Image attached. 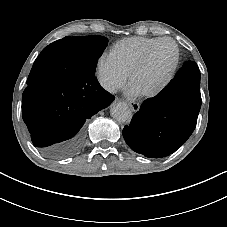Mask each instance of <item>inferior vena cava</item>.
<instances>
[{"label":"inferior vena cava","instance_id":"inferior-vena-cava-1","mask_svg":"<svg viewBox=\"0 0 227 227\" xmlns=\"http://www.w3.org/2000/svg\"><path fill=\"white\" fill-rule=\"evenodd\" d=\"M100 84L109 93H116L117 92V87L107 80H101Z\"/></svg>","mask_w":227,"mask_h":227}]
</instances>
